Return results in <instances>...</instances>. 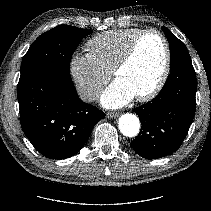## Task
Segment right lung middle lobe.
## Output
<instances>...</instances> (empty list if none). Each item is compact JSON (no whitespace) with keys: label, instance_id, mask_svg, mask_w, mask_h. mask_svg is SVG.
Returning <instances> with one entry per match:
<instances>
[{"label":"right lung middle lobe","instance_id":"1","mask_svg":"<svg viewBox=\"0 0 211 211\" xmlns=\"http://www.w3.org/2000/svg\"><path fill=\"white\" fill-rule=\"evenodd\" d=\"M91 33V30L70 25H59L43 33L23 57L20 79L41 70L70 76L72 55L81 40Z\"/></svg>","mask_w":211,"mask_h":211}]
</instances>
